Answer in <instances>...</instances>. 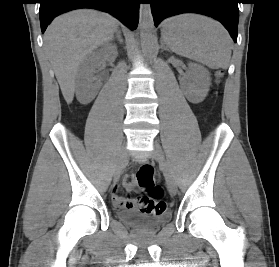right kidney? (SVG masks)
Here are the masks:
<instances>
[{
	"mask_svg": "<svg viewBox=\"0 0 279 267\" xmlns=\"http://www.w3.org/2000/svg\"><path fill=\"white\" fill-rule=\"evenodd\" d=\"M110 53V50L103 48L89 56L87 65L77 77L76 96L80 103L88 104L96 96L98 89L101 87V81L93 73L102 61L109 57Z\"/></svg>",
	"mask_w": 279,
	"mask_h": 267,
	"instance_id": "ca27d5eb",
	"label": "right kidney"
}]
</instances>
